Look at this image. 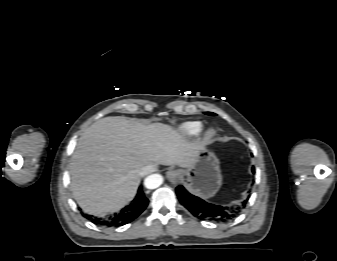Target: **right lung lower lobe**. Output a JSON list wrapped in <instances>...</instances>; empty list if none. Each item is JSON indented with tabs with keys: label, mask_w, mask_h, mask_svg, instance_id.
<instances>
[{
	"label": "right lung lower lobe",
	"mask_w": 337,
	"mask_h": 261,
	"mask_svg": "<svg viewBox=\"0 0 337 261\" xmlns=\"http://www.w3.org/2000/svg\"><path fill=\"white\" fill-rule=\"evenodd\" d=\"M147 205L148 199L144 195L142 186H140L134 200L128 206L123 208L119 213H115L107 219L92 218V216L86 214H83V216L97 225L118 227L125 225L137 218L144 211Z\"/></svg>",
	"instance_id": "98d812e1"
}]
</instances>
